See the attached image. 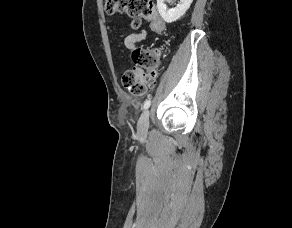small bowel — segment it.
Masks as SVG:
<instances>
[{"label": "small bowel", "mask_w": 292, "mask_h": 228, "mask_svg": "<svg viewBox=\"0 0 292 228\" xmlns=\"http://www.w3.org/2000/svg\"><path fill=\"white\" fill-rule=\"evenodd\" d=\"M146 35H147V33L145 30H142L138 33H132V34L128 35L124 40V44H125L126 48L129 49L130 51H133L136 48V45L146 38ZM138 71L140 73H144V70H142V69H138ZM155 82L156 81L154 80V82L152 83L150 88L154 87Z\"/></svg>", "instance_id": "obj_1"}]
</instances>
